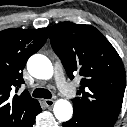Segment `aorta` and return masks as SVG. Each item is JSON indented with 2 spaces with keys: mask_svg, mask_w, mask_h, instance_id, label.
Wrapping results in <instances>:
<instances>
[{
  "mask_svg": "<svg viewBox=\"0 0 127 127\" xmlns=\"http://www.w3.org/2000/svg\"><path fill=\"white\" fill-rule=\"evenodd\" d=\"M27 69L37 79H49L53 73L50 60L41 54H34L29 58ZM53 112L60 122H65L71 119L73 107L67 100H58L54 105Z\"/></svg>",
  "mask_w": 127,
  "mask_h": 127,
  "instance_id": "obj_1",
  "label": "aorta"
}]
</instances>
